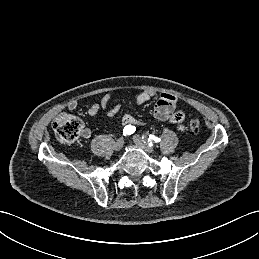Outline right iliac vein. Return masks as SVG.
I'll use <instances>...</instances> for the list:
<instances>
[{"mask_svg": "<svg viewBox=\"0 0 259 259\" xmlns=\"http://www.w3.org/2000/svg\"><path fill=\"white\" fill-rule=\"evenodd\" d=\"M123 145H124V139L121 137V138H119V139L115 142V144H114V150H115V151H120V150L122 149Z\"/></svg>", "mask_w": 259, "mask_h": 259, "instance_id": "right-iliac-vein-1", "label": "right iliac vein"}]
</instances>
